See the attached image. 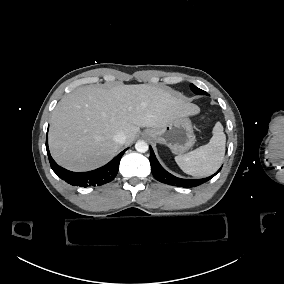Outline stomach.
<instances>
[{"label": "stomach", "instance_id": "obj_1", "mask_svg": "<svg viewBox=\"0 0 284 284\" xmlns=\"http://www.w3.org/2000/svg\"><path fill=\"white\" fill-rule=\"evenodd\" d=\"M143 137L166 145L174 154L188 151L195 143L193 126L187 116L177 117L162 127L148 128Z\"/></svg>", "mask_w": 284, "mask_h": 284}]
</instances>
